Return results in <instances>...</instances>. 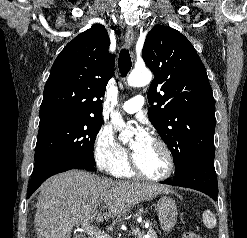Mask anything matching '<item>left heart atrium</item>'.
I'll return each instance as SVG.
<instances>
[{"instance_id":"left-heart-atrium-1","label":"left heart atrium","mask_w":247,"mask_h":238,"mask_svg":"<svg viewBox=\"0 0 247 238\" xmlns=\"http://www.w3.org/2000/svg\"><path fill=\"white\" fill-rule=\"evenodd\" d=\"M150 140H151V138H150L148 132L143 128H139L137 130L135 140L131 146L132 152H136L138 149H140L142 146H144Z\"/></svg>"}]
</instances>
